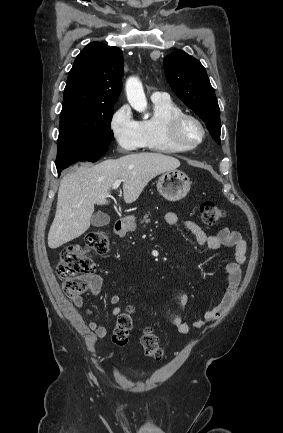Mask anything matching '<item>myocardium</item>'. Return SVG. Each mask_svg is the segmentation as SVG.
Wrapping results in <instances>:
<instances>
[{
  "label": "myocardium",
  "mask_w": 283,
  "mask_h": 433,
  "mask_svg": "<svg viewBox=\"0 0 283 433\" xmlns=\"http://www.w3.org/2000/svg\"><path fill=\"white\" fill-rule=\"evenodd\" d=\"M195 123L201 131V137L192 144H185L179 137L180 130L184 124L187 122ZM207 136V129L204 123L195 115L190 113H179L175 115L168 127V138L169 141L173 144V146L181 152H187L196 149L200 146Z\"/></svg>",
  "instance_id": "f54148a6"
}]
</instances>
